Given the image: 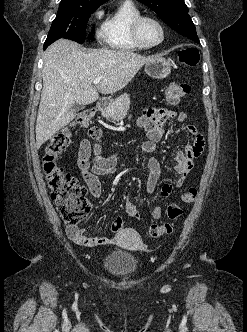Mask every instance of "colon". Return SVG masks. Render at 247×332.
Here are the masks:
<instances>
[{"label":"colon","mask_w":247,"mask_h":332,"mask_svg":"<svg viewBox=\"0 0 247 332\" xmlns=\"http://www.w3.org/2000/svg\"><path fill=\"white\" fill-rule=\"evenodd\" d=\"M180 61L194 67L199 62V53L194 48H185L179 51ZM190 85L186 83H172L166 90V101L169 105L175 106L190 92ZM94 115L93 109H86L80 112L73 127L84 128L89 125ZM71 129L63 128L57 131L49 140L42 158L43 171L46 177L51 199L59 207L61 216L67 225H77L85 219L90 210L91 204L87 198L86 188L79 180L66 173L58 164L60 155L68 147L71 141ZM197 196V190L190 187L184 191L181 198L185 203H192ZM181 206L171 202L166 207L168 221L162 224H152L149 227V234L153 238L170 235L173 232V223L182 216ZM123 228V220L115 218L111 224L114 233Z\"/></svg>","instance_id":"5ec220e1"}]
</instances>
